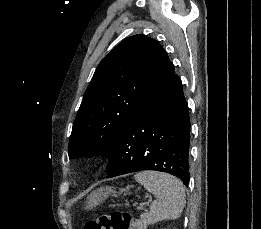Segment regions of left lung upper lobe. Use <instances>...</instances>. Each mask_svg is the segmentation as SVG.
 I'll use <instances>...</instances> for the list:
<instances>
[{"label": "left lung upper lobe", "mask_w": 261, "mask_h": 229, "mask_svg": "<svg viewBox=\"0 0 261 229\" xmlns=\"http://www.w3.org/2000/svg\"><path fill=\"white\" fill-rule=\"evenodd\" d=\"M174 73L158 41L138 34L120 42L100 62L84 94L69 140V158L109 157L132 117Z\"/></svg>", "instance_id": "obj_1"}]
</instances>
